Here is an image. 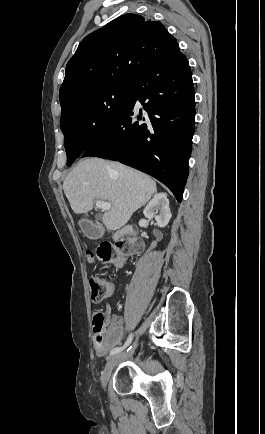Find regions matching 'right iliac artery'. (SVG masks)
Listing matches in <instances>:
<instances>
[{"label": "right iliac artery", "instance_id": "82829eb1", "mask_svg": "<svg viewBox=\"0 0 265 434\" xmlns=\"http://www.w3.org/2000/svg\"><path fill=\"white\" fill-rule=\"evenodd\" d=\"M132 340V334L129 335L127 341L125 342V344L122 347H115L110 351V356L115 355L119 352H121L122 350H124L131 342Z\"/></svg>", "mask_w": 265, "mask_h": 434}]
</instances>
